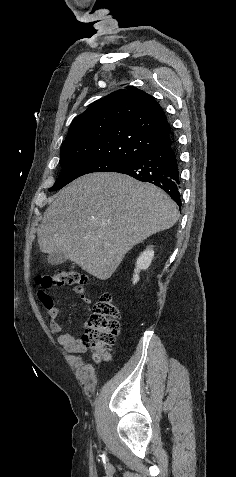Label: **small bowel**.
<instances>
[{
    "label": "small bowel",
    "mask_w": 236,
    "mask_h": 477,
    "mask_svg": "<svg viewBox=\"0 0 236 477\" xmlns=\"http://www.w3.org/2000/svg\"><path fill=\"white\" fill-rule=\"evenodd\" d=\"M72 293L78 295L82 302L90 309L91 301L83 292H81V290L75 289ZM39 298L51 317V332L55 334L60 333L63 329L62 314L60 311L61 302L52 299L45 293H39ZM57 340L60 345L72 354H80L86 350V346L83 342V335L76 336L71 333H62L59 334Z\"/></svg>",
    "instance_id": "1"
}]
</instances>
